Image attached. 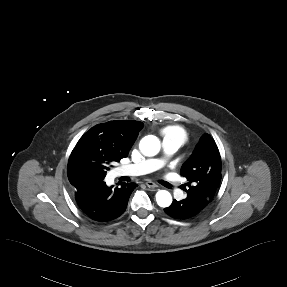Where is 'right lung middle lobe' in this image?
<instances>
[{"instance_id": "dd1d6c3e", "label": "right lung middle lobe", "mask_w": 287, "mask_h": 287, "mask_svg": "<svg viewBox=\"0 0 287 287\" xmlns=\"http://www.w3.org/2000/svg\"><path fill=\"white\" fill-rule=\"evenodd\" d=\"M119 160L110 154L100 151H72L68 161V179L75 181L84 175L105 177L110 166Z\"/></svg>"}]
</instances>
